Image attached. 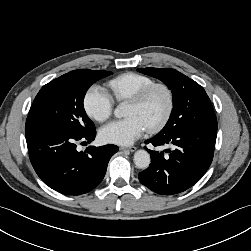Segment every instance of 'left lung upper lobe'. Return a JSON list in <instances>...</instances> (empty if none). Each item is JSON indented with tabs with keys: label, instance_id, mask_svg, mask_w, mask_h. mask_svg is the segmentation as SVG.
Wrapping results in <instances>:
<instances>
[{
	"label": "left lung upper lobe",
	"instance_id": "1",
	"mask_svg": "<svg viewBox=\"0 0 251 251\" xmlns=\"http://www.w3.org/2000/svg\"><path fill=\"white\" fill-rule=\"evenodd\" d=\"M139 72L165 83L173 94V109L159 136L173 133L183 127L217 124V119L205 90L184 74L168 68H139ZM205 114L199 121L198 114Z\"/></svg>",
	"mask_w": 251,
	"mask_h": 251
}]
</instances>
